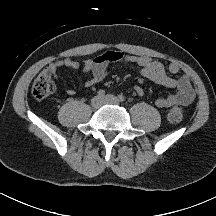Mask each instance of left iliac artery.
I'll return each instance as SVG.
<instances>
[{
	"label": "left iliac artery",
	"mask_w": 216,
	"mask_h": 216,
	"mask_svg": "<svg viewBox=\"0 0 216 216\" xmlns=\"http://www.w3.org/2000/svg\"><path fill=\"white\" fill-rule=\"evenodd\" d=\"M125 100V97L123 95L118 96V101L123 102Z\"/></svg>",
	"instance_id": "44dca946"
}]
</instances>
